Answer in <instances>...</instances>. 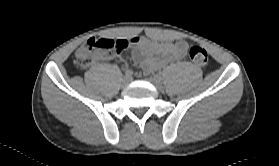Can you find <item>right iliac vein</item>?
<instances>
[{
	"instance_id": "obj_1",
	"label": "right iliac vein",
	"mask_w": 279,
	"mask_h": 166,
	"mask_svg": "<svg viewBox=\"0 0 279 166\" xmlns=\"http://www.w3.org/2000/svg\"><path fill=\"white\" fill-rule=\"evenodd\" d=\"M130 81V77L124 76L121 80V86L125 87Z\"/></svg>"
}]
</instances>
